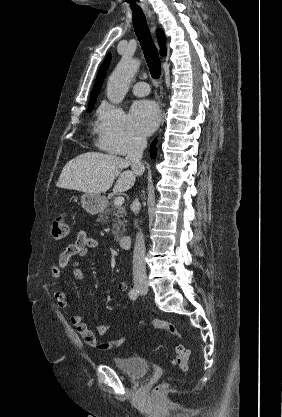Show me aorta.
Here are the masks:
<instances>
[{
    "mask_svg": "<svg viewBox=\"0 0 282 417\" xmlns=\"http://www.w3.org/2000/svg\"><path fill=\"white\" fill-rule=\"evenodd\" d=\"M139 66V58H124L122 56L107 80L106 94L110 102H113V104L122 102L134 74L139 70Z\"/></svg>",
    "mask_w": 282,
    "mask_h": 417,
    "instance_id": "1",
    "label": "aorta"
}]
</instances>
